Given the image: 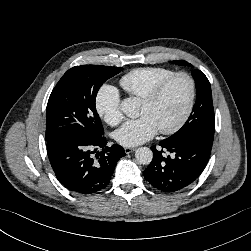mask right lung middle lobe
I'll return each instance as SVG.
<instances>
[{"label":"right lung middle lobe","mask_w":251,"mask_h":251,"mask_svg":"<svg viewBox=\"0 0 251 251\" xmlns=\"http://www.w3.org/2000/svg\"><path fill=\"white\" fill-rule=\"evenodd\" d=\"M122 69L99 65L69 69L49 97L45 140L69 132L101 137L104 131L95 107L96 95L101 85Z\"/></svg>","instance_id":"1"}]
</instances>
